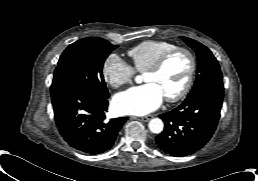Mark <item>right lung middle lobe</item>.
<instances>
[{
    "label": "right lung middle lobe",
    "mask_w": 258,
    "mask_h": 181,
    "mask_svg": "<svg viewBox=\"0 0 258 181\" xmlns=\"http://www.w3.org/2000/svg\"><path fill=\"white\" fill-rule=\"evenodd\" d=\"M117 47L98 37L74 42L60 56L52 85L68 84L98 99H107L109 93L102 68L108 55Z\"/></svg>",
    "instance_id": "1"
}]
</instances>
